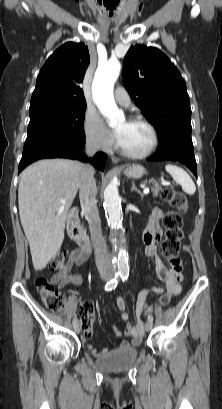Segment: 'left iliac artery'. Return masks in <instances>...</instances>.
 Masks as SVG:
<instances>
[{"instance_id": "left-iliac-artery-1", "label": "left iliac artery", "mask_w": 222, "mask_h": 409, "mask_svg": "<svg viewBox=\"0 0 222 409\" xmlns=\"http://www.w3.org/2000/svg\"><path fill=\"white\" fill-rule=\"evenodd\" d=\"M120 276L122 278L123 281L128 279L129 276V270L121 268L120 269ZM153 316L152 315H148V320L153 322Z\"/></svg>"}]
</instances>
